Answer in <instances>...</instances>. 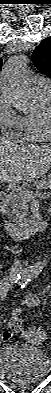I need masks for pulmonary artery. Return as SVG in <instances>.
I'll list each match as a JSON object with an SVG mask.
<instances>
[{"label":"pulmonary artery","instance_id":"pulmonary-artery-1","mask_svg":"<svg viewBox=\"0 0 51 393\" xmlns=\"http://www.w3.org/2000/svg\"><path fill=\"white\" fill-rule=\"evenodd\" d=\"M35 85L36 89L51 90V82L42 76L35 77Z\"/></svg>","mask_w":51,"mask_h":393}]
</instances>
